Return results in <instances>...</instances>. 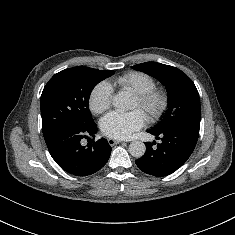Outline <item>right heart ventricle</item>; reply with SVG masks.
I'll use <instances>...</instances> for the list:
<instances>
[{"label":"right heart ventricle","mask_w":235,"mask_h":235,"mask_svg":"<svg viewBox=\"0 0 235 235\" xmlns=\"http://www.w3.org/2000/svg\"><path fill=\"white\" fill-rule=\"evenodd\" d=\"M120 90L129 91L134 94L146 92L156 86L155 79L144 72L131 71L114 80Z\"/></svg>","instance_id":"obj_1"}]
</instances>
